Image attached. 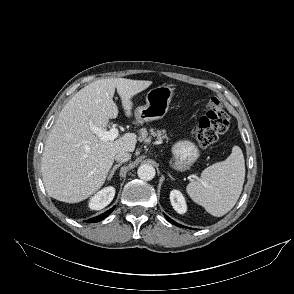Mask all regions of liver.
Here are the masks:
<instances>
[{
    "instance_id": "1",
    "label": "liver",
    "mask_w": 294,
    "mask_h": 294,
    "mask_svg": "<svg viewBox=\"0 0 294 294\" xmlns=\"http://www.w3.org/2000/svg\"><path fill=\"white\" fill-rule=\"evenodd\" d=\"M152 81L125 78L100 79L79 90L63 107L46 141L41 171L48 195L56 200L77 203L98 191L104 184L120 151L133 152L134 133L115 141L101 140L90 125L105 128L118 116L113 101L115 89L125 115L130 117L132 98L147 89Z\"/></svg>"
}]
</instances>
